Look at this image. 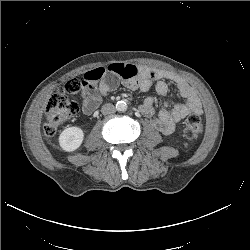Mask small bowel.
Masks as SVG:
<instances>
[{
	"label": "small bowel",
	"mask_w": 250,
	"mask_h": 250,
	"mask_svg": "<svg viewBox=\"0 0 250 250\" xmlns=\"http://www.w3.org/2000/svg\"><path fill=\"white\" fill-rule=\"evenodd\" d=\"M166 81L175 84L185 102L176 104L171 109L164 103L157 116H154V99L147 97L140 105V111L151 120L158 131L170 134L177 123L186 116L202 113V104L195 90L182 77L171 71L124 63L91 69L84 74L81 81L82 110L87 115L92 114L103 97L107 96L119 82L130 89L143 92L154 88L159 95L166 96L169 91Z\"/></svg>",
	"instance_id": "small-bowel-1"
}]
</instances>
